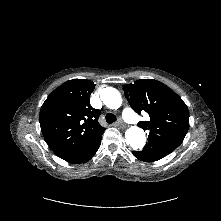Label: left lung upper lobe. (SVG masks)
Segmentation results:
<instances>
[{
  "label": "left lung upper lobe",
  "mask_w": 221,
  "mask_h": 221,
  "mask_svg": "<svg viewBox=\"0 0 221 221\" xmlns=\"http://www.w3.org/2000/svg\"><path fill=\"white\" fill-rule=\"evenodd\" d=\"M125 97L137 113L145 111L150 120L138 126L149 131L142 151L166 156L184 140L189 127V111L180 96L160 81L140 79L123 86Z\"/></svg>",
  "instance_id": "1"
}]
</instances>
